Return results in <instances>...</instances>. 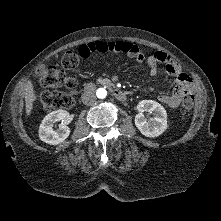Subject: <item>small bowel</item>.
Wrapping results in <instances>:
<instances>
[{
	"instance_id": "small-bowel-1",
	"label": "small bowel",
	"mask_w": 221,
	"mask_h": 221,
	"mask_svg": "<svg viewBox=\"0 0 221 221\" xmlns=\"http://www.w3.org/2000/svg\"><path fill=\"white\" fill-rule=\"evenodd\" d=\"M78 53L82 58H88L93 53H123L139 63L145 62L148 73L152 77L158 76V65L164 64L166 73L175 80V89L170 95L160 94L158 100L169 107L175 108L185 98L193 97V87L189 77L182 72L181 67L174 59L162 51L146 56L136 44L128 41L96 40L81 44Z\"/></svg>"
}]
</instances>
